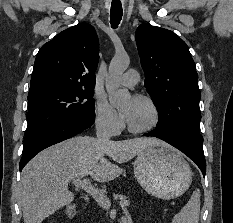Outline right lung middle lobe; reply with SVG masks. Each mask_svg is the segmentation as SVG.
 Instances as JSON below:
<instances>
[{"instance_id": "right-lung-middle-lobe-1", "label": "right lung middle lobe", "mask_w": 233, "mask_h": 223, "mask_svg": "<svg viewBox=\"0 0 233 223\" xmlns=\"http://www.w3.org/2000/svg\"><path fill=\"white\" fill-rule=\"evenodd\" d=\"M93 88H52L28 95L25 140L70 117L94 113Z\"/></svg>"}]
</instances>
